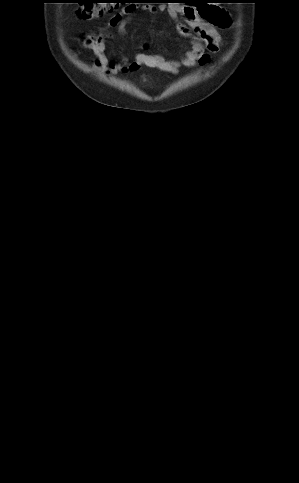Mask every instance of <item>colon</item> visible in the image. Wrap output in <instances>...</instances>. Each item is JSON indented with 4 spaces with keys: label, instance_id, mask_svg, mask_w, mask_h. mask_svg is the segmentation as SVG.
Returning <instances> with one entry per match:
<instances>
[{
    "label": "colon",
    "instance_id": "5ec220e1",
    "mask_svg": "<svg viewBox=\"0 0 299 483\" xmlns=\"http://www.w3.org/2000/svg\"><path fill=\"white\" fill-rule=\"evenodd\" d=\"M82 5L77 9V15L83 19H98L109 13L114 9V6L118 3L115 0H82ZM206 3L199 4V13L202 18H206L207 15L204 10Z\"/></svg>",
    "mask_w": 299,
    "mask_h": 483
}]
</instances>
